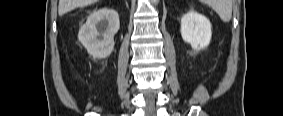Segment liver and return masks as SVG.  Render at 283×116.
<instances>
[{
    "instance_id": "liver-1",
    "label": "liver",
    "mask_w": 283,
    "mask_h": 116,
    "mask_svg": "<svg viewBox=\"0 0 283 116\" xmlns=\"http://www.w3.org/2000/svg\"><path fill=\"white\" fill-rule=\"evenodd\" d=\"M95 2L97 0H59L58 14L59 16H63L77 7H83Z\"/></svg>"
}]
</instances>
